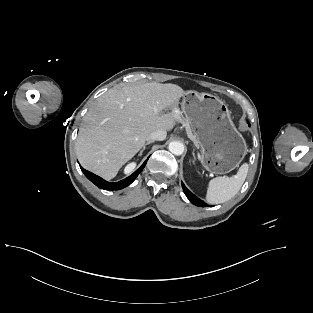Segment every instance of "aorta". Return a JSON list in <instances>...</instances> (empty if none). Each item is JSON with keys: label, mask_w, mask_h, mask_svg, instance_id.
I'll list each match as a JSON object with an SVG mask.
<instances>
[{"label": "aorta", "mask_w": 313, "mask_h": 313, "mask_svg": "<svg viewBox=\"0 0 313 313\" xmlns=\"http://www.w3.org/2000/svg\"><path fill=\"white\" fill-rule=\"evenodd\" d=\"M169 151L174 155H181L184 152V145L181 142L173 141L169 144Z\"/></svg>", "instance_id": "aorta-1"}]
</instances>
